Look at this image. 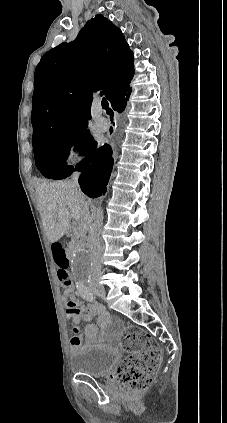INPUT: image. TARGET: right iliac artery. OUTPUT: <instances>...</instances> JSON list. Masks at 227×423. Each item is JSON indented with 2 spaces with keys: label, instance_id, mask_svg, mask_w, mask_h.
<instances>
[{
  "label": "right iliac artery",
  "instance_id": "obj_1",
  "mask_svg": "<svg viewBox=\"0 0 227 423\" xmlns=\"http://www.w3.org/2000/svg\"><path fill=\"white\" fill-rule=\"evenodd\" d=\"M79 292L81 293L82 297L87 301H93L95 299V296L85 284L79 286Z\"/></svg>",
  "mask_w": 227,
  "mask_h": 423
}]
</instances>
